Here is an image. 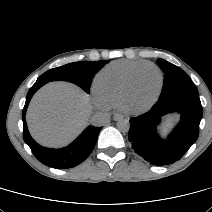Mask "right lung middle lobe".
Here are the masks:
<instances>
[{
  "label": "right lung middle lobe",
  "instance_id": "1",
  "mask_svg": "<svg viewBox=\"0 0 212 212\" xmlns=\"http://www.w3.org/2000/svg\"><path fill=\"white\" fill-rule=\"evenodd\" d=\"M108 61H80L69 63L61 67L53 68L42 74L37 81H68L81 87L85 92H90V82L92 77Z\"/></svg>",
  "mask_w": 212,
  "mask_h": 212
}]
</instances>
